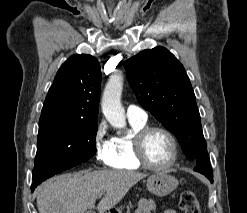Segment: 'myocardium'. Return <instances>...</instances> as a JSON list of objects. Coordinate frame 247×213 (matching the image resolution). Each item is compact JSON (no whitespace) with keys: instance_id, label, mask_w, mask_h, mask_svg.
<instances>
[{"instance_id":"myocardium-1","label":"myocardium","mask_w":247,"mask_h":213,"mask_svg":"<svg viewBox=\"0 0 247 213\" xmlns=\"http://www.w3.org/2000/svg\"><path fill=\"white\" fill-rule=\"evenodd\" d=\"M154 131H160L164 133L169 138L172 145V158L170 162L164 166H156L151 164L144 154L145 140L147 136ZM132 149L134 159L140 166L157 172H164L171 169L176 164L179 157V144L175 135L169 129L160 125L145 126L138 130L133 137Z\"/></svg>"}]
</instances>
